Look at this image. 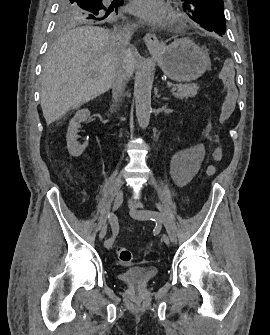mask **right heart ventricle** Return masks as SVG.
I'll return each mask as SVG.
<instances>
[{"instance_id":"right-heart-ventricle-1","label":"right heart ventricle","mask_w":270,"mask_h":335,"mask_svg":"<svg viewBox=\"0 0 270 335\" xmlns=\"http://www.w3.org/2000/svg\"><path fill=\"white\" fill-rule=\"evenodd\" d=\"M137 78H146V77H137Z\"/></svg>"}]
</instances>
